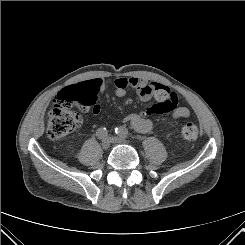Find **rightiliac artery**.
Masks as SVG:
<instances>
[{"label": "right iliac artery", "mask_w": 245, "mask_h": 245, "mask_svg": "<svg viewBox=\"0 0 245 245\" xmlns=\"http://www.w3.org/2000/svg\"><path fill=\"white\" fill-rule=\"evenodd\" d=\"M108 135V131L107 129L104 127H101L99 128L97 131H96V136L99 138V139H104L106 138Z\"/></svg>", "instance_id": "1"}]
</instances>
